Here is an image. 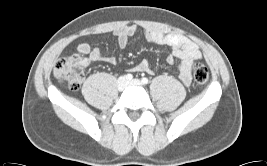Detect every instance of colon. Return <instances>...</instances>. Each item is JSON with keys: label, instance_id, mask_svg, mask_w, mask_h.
<instances>
[{"label": "colon", "instance_id": "1", "mask_svg": "<svg viewBox=\"0 0 267 166\" xmlns=\"http://www.w3.org/2000/svg\"><path fill=\"white\" fill-rule=\"evenodd\" d=\"M80 63L81 61L78 58L62 61L57 65L55 75L62 81L72 84L76 78V73L80 68ZM197 78L201 85L208 82V72L205 68L199 70Z\"/></svg>", "mask_w": 267, "mask_h": 166}]
</instances>
